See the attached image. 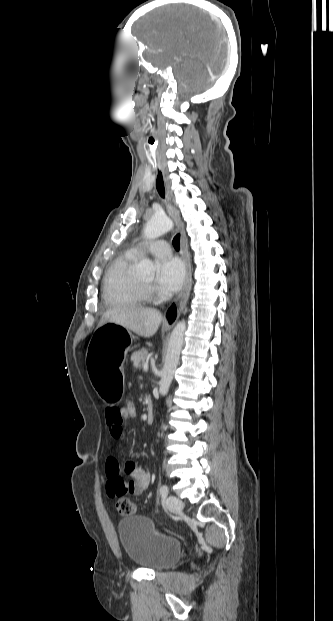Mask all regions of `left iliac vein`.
<instances>
[{"instance_id": "left-iliac-vein-1", "label": "left iliac vein", "mask_w": 333, "mask_h": 621, "mask_svg": "<svg viewBox=\"0 0 333 621\" xmlns=\"http://www.w3.org/2000/svg\"><path fill=\"white\" fill-rule=\"evenodd\" d=\"M168 509L172 512H179L183 509V502L176 496H169L166 501Z\"/></svg>"}]
</instances>
